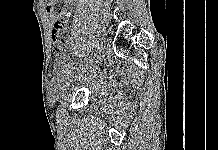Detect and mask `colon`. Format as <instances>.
<instances>
[{
  "mask_svg": "<svg viewBox=\"0 0 218 150\" xmlns=\"http://www.w3.org/2000/svg\"><path fill=\"white\" fill-rule=\"evenodd\" d=\"M53 52L59 54L64 48L67 41V33L65 29H57L52 32Z\"/></svg>",
  "mask_w": 218,
  "mask_h": 150,
  "instance_id": "obj_1",
  "label": "colon"
}]
</instances>
